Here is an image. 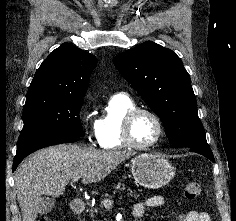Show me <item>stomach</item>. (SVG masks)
Segmentation results:
<instances>
[{"instance_id":"1","label":"stomach","mask_w":236,"mask_h":221,"mask_svg":"<svg viewBox=\"0 0 236 221\" xmlns=\"http://www.w3.org/2000/svg\"><path fill=\"white\" fill-rule=\"evenodd\" d=\"M131 171L135 183L149 189L167 185L175 175V168L158 154L143 153L132 160Z\"/></svg>"}]
</instances>
